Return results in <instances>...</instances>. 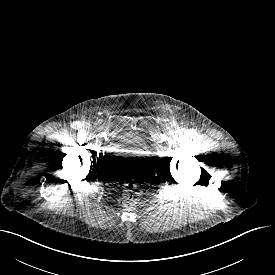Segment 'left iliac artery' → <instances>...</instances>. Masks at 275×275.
Returning <instances> with one entry per match:
<instances>
[{"instance_id":"left-iliac-artery-1","label":"left iliac artery","mask_w":275,"mask_h":275,"mask_svg":"<svg viewBox=\"0 0 275 275\" xmlns=\"http://www.w3.org/2000/svg\"><path fill=\"white\" fill-rule=\"evenodd\" d=\"M189 133H190L191 136H196L197 135V132L195 130H190Z\"/></svg>"}]
</instances>
